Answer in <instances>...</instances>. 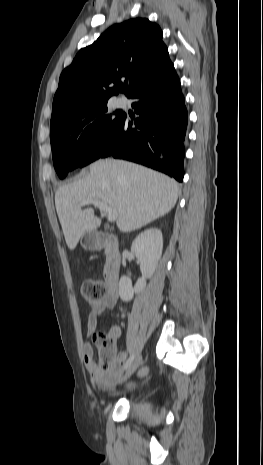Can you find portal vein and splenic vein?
<instances>
[{
    "label": "portal vein and splenic vein",
    "mask_w": 263,
    "mask_h": 465,
    "mask_svg": "<svg viewBox=\"0 0 263 465\" xmlns=\"http://www.w3.org/2000/svg\"><path fill=\"white\" fill-rule=\"evenodd\" d=\"M89 204L95 205L100 211L106 213L107 214V219H108L109 222H113V221H115L117 219V211L115 209H112L107 204H105V203H103V202H101L99 200L87 199L81 205L85 206V205H89Z\"/></svg>",
    "instance_id": "18ae733b"
}]
</instances>
